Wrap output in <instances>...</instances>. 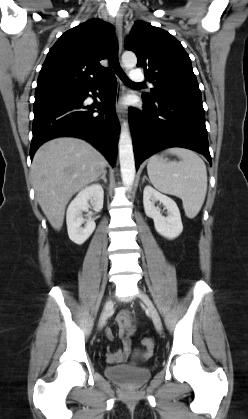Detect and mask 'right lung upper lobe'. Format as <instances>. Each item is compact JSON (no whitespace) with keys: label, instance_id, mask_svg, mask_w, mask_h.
<instances>
[{"label":"right lung upper lobe","instance_id":"right-lung-upper-lobe-1","mask_svg":"<svg viewBox=\"0 0 248 419\" xmlns=\"http://www.w3.org/2000/svg\"><path fill=\"white\" fill-rule=\"evenodd\" d=\"M113 31L94 18L62 34L42 65L35 96L80 91L106 77L110 70L99 61L109 55Z\"/></svg>","mask_w":248,"mask_h":419}]
</instances>
